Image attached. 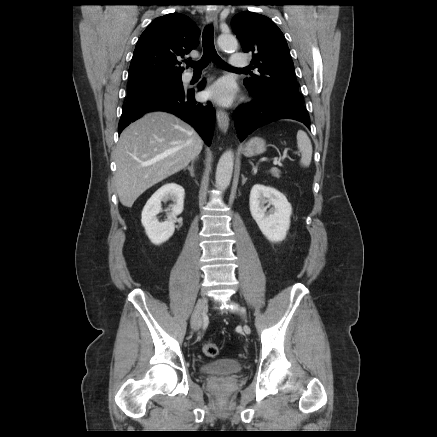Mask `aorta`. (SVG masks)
<instances>
[{"label": "aorta", "mask_w": 437, "mask_h": 437, "mask_svg": "<svg viewBox=\"0 0 437 437\" xmlns=\"http://www.w3.org/2000/svg\"><path fill=\"white\" fill-rule=\"evenodd\" d=\"M218 45L225 52H234L237 47V39L232 34H221L218 37ZM234 166V153L228 150L222 154L216 169V185L219 189H226L231 181Z\"/></svg>", "instance_id": "obj_1"}]
</instances>
